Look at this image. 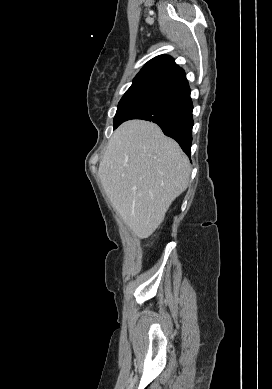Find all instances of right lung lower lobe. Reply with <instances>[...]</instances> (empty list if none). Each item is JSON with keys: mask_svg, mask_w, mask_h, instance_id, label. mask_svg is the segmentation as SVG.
I'll return each instance as SVG.
<instances>
[{"mask_svg": "<svg viewBox=\"0 0 272 389\" xmlns=\"http://www.w3.org/2000/svg\"><path fill=\"white\" fill-rule=\"evenodd\" d=\"M192 111L190 87L186 77H183L145 98L125 115L121 123L131 119L152 121L190 156L194 124Z\"/></svg>", "mask_w": 272, "mask_h": 389, "instance_id": "obj_1", "label": "right lung lower lobe"}]
</instances>
